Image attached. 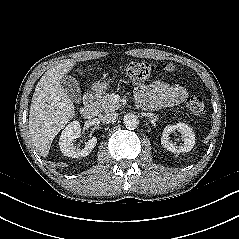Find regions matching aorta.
Returning a JSON list of instances; mask_svg holds the SVG:
<instances>
[{"mask_svg":"<svg viewBox=\"0 0 239 239\" xmlns=\"http://www.w3.org/2000/svg\"><path fill=\"white\" fill-rule=\"evenodd\" d=\"M123 124L127 129H135L139 124V119L137 115L129 113L124 116Z\"/></svg>","mask_w":239,"mask_h":239,"instance_id":"aorta-1","label":"aorta"}]
</instances>
